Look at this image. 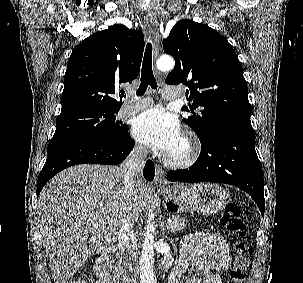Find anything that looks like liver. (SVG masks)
I'll use <instances>...</instances> for the list:
<instances>
[{"label": "liver", "instance_id": "obj_1", "mask_svg": "<svg viewBox=\"0 0 303 283\" xmlns=\"http://www.w3.org/2000/svg\"><path fill=\"white\" fill-rule=\"evenodd\" d=\"M123 177L120 167L82 164L60 172L43 188L37 213L55 283H66L91 255L113 247L126 203ZM133 186L128 217L134 222L150 186L142 177Z\"/></svg>", "mask_w": 303, "mask_h": 283}]
</instances>
